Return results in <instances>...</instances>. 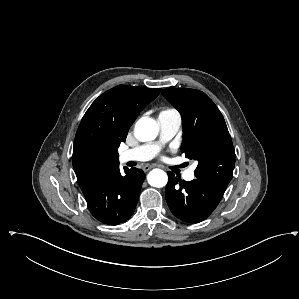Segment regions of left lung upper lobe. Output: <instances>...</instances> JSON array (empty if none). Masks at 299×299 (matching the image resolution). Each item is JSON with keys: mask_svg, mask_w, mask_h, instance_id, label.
Instances as JSON below:
<instances>
[{"mask_svg": "<svg viewBox=\"0 0 299 299\" xmlns=\"http://www.w3.org/2000/svg\"><path fill=\"white\" fill-rule=\"evenodd\" d=\"M162 95L182 116L181 150L186 158L198 161L195 176L226 190L235 152L221 112L205 93L195 89H164Z\"/></svg>", "mask_w": 299, "mask_h": 299, "instance_id": "left-lung-upper-lobe-1", "label": "left lung upper lobe"}]
</instances>
